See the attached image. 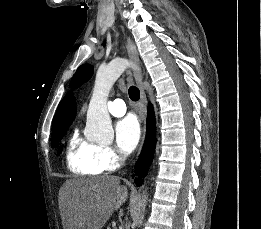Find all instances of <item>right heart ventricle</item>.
I'll return each instance as SVG.
<instances>
[{"instance_id": "1", "label": "right heart ventricle", "mask_w": 261, "mask_h": 229, "mask_svg": "<svg viewBox=\"0 0 261 229\" xmlns=\"http://www.w3.org/2000/svg\"><path fill=\"white\" fill-rule=\"evenodd\" d=\"M99 145L82 139L77 133L73 134L67 145L66 160L69 169L82 175L100 173L96 164V155Z\"/></svg>"}]
</instances>
